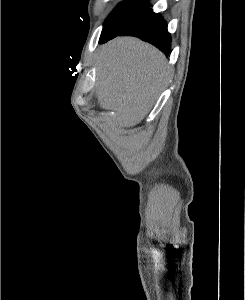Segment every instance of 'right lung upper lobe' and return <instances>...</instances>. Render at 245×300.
<instances>
[{"instance_id":"cb5924a9","label":"right lung upper lobe","mask_w":245,"mask_h":300,"mask_svg":"<svg viewBox=\"0 0 245 300\" xmlns=\"http://www.w3.org/2000/svg\"><path fill=\"white\" fill-rule=\"evenodd\" d=\"M138 1H142V2H148V0H138Z\"/></svg>"}]
</instances>
